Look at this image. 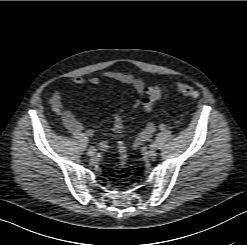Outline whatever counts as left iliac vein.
<instances>
[{"mask_svg":"<svg viewBox=\"0 0 247 245\" xmlns=\"http://www.w3.org/2000/svg\"><path fill=\"white\" fill-rule=\"evenodd\" d=\"M156 149H157V144L154 142L149 147V155L150 156L155 155Z\"/></svg>","mask_w":247,"mask_h":245,"instance_id":"left-iliac-vein-1","label":"left iliac vein"}]
</instances>
